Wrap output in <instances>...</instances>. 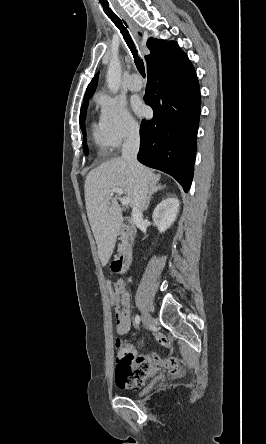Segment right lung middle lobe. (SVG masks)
I'll return each mask as SVG.
<instances>
[{"mask_svg":"<svg viewBox=\"0 0 266 444\" xmlns=\"http://www.w3.org/2000/svg\"><path fill=\"white\" fill-rule=\"evenodd\" d=\"M87 107H88V101H86V102H84L82 104L81 110H80V117H79L80 127H81V130H82L83 136H84V139H83V150H84V154L85 155H88V148H87V144H86V131H85V127H84Z\"/></svg>","mask_w":266,"mask_h":444,"instance_id":"right-lung-middle-lobe-1","label":"right lung middle lobe"}]
</instances>
